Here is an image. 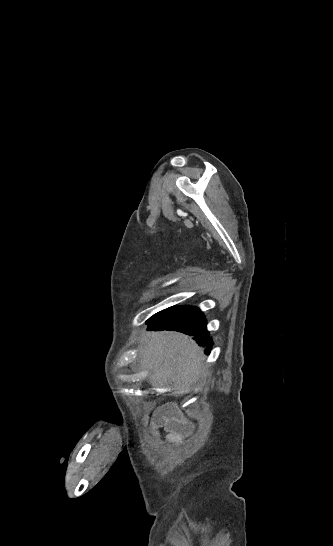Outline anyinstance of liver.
Listing matches in <instances>:
<instances>
[{"mask_svg":"<svg viewBox=\"0 0 333 546\" xmlns=\"http://www.w3.org/2000/svg\"><path fill=\"white\" fill-rule=\"evenodd\" d=\"M141 342V367L150 371L153 385L173 383L179 393L189 392L202 373L204 362L196 342L181 333L165 331L148 332Z\"/></svg>","mask_w":333,"mask_h":546,"instance_id":"obj_1","label":"liver"}]
</instances>
